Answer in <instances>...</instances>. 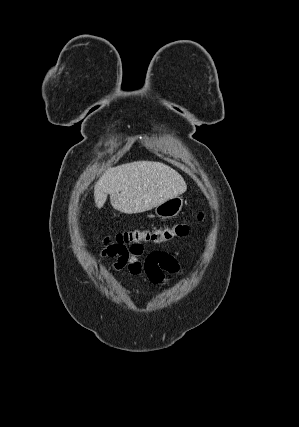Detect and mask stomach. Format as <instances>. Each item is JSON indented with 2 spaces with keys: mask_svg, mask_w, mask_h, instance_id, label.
Returning <instances> with one entry per match:
<instances>
[{
  "mask_svg": "<svg viewBox=\"0 0 299 427\" xmlns=\"http://www.w3.org/2000/svg\"><path fill=\"white\" fill-rule=\"evenodd\" d=\"M184 200L177 196L171 198L155 207V214L161 219H170L176 217L182 210Z\"/></svg>",
  "mask_w": 299,
  "mask_h": 427,
  "instance_id": "stomach-1",
  "label": "stomach"
}]
</instances>
